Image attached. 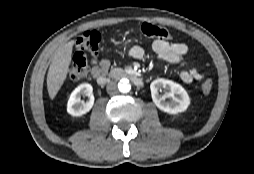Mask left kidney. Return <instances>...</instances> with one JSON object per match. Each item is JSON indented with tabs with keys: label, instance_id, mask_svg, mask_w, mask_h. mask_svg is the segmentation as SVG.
I'll use <instances>...</instances> for the list:
<instances>
[{
	"label": "left kidney",
	"instance_id": "obj_1",
	"mask_svg": "<svg viewBox=\"0 0 254 174\" xmlns=\"http://www.w3.org/2000/svg\"><path fill=\"white\" fill-rule=\"evenodd\" d=\"M150 89L154 104L164 112L178 114L184 112L190 105L187 91L180 84L171 80L156 79L151 83ZM161 89L168 91L166 95L161 96L159 94ZM166 98H169L170 101H166Z\"/></svg>",
	"mask_w": 254,
	"mask_h": 174
}]
</instances>
